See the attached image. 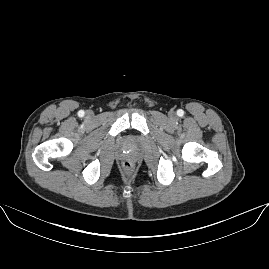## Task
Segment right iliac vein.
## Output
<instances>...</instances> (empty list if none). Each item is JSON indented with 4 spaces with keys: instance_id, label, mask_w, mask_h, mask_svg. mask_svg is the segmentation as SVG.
Returning a JSON list of instances; mask_svg holds the SVG:
<instances>
[{
    "instance_id": "63e3f726",
    "label": "right iliac vein",
    "mask_w": 269,
    "mask_h": 269,
    "mask_svg": "<svg viewBox=\"0 0 269 269\" xmlns=\"http://www.w3.org/2000/svg\"><path fill=\"white\" fill-rule=\"evenodd\" d=\"M86 116H87V118H92L93 112L88 111L87 114H86Z\"/></svg>"
}]
</instances>
